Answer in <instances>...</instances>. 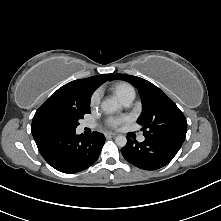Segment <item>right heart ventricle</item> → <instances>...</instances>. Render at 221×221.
Here are the masks:
<instances>
[{
    "mask_svg": "<svg viewBox=\"0 0 221 221\" xmlns=\"http://www.w3.org/2000/svg\"><path fill=\"white\" fill-rule=\"evenodd\" d=\"M113 93L116 97L122 102L128 98L135 97V89L134 87L125 81H119L112 85L111 87Z\"/></svg>",
    "mask_w": 221,
    "mask_h": 221,
    "instance_id": "1",
    "label": "right heart ventricle"
}]
</instances>
